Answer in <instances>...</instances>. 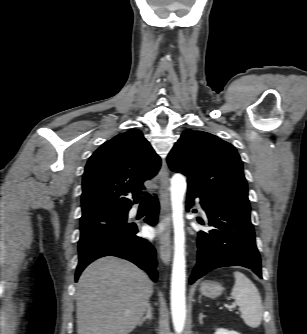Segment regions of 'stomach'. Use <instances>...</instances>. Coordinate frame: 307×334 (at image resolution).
<instances>
[{
	"label": "stomach",
	"mask_w": 307,
	"mask_h": 334,
	"mask_svg": "<svg viewBox=\"0 0 307 334\" xmlns=\"http://www.w3.org/2000/svg\"><path fill=\"white\" fill-rule=\"evenodd\" d=\"M223 287L220 283L214 281H204L200 285L202 295L209 298H216L221 295Z\"/></svg>",
	"instance_id": "obj_1"
}]
</instances>
